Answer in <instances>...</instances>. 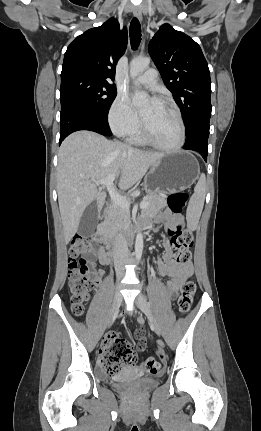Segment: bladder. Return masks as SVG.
Segmentation results:
<instances>
[{
  "mask_svg": "<svg viewBox=\"0 0 261 431\" xmlns=\"http://www.w3.org/2000/svg\"><path fill=\"white\" fill-rule=\"evenodd\" d=\"M157 377H141L132 368L124 369L113 378V386L117 390L143 392L157 385Z\"/></svg>",
  "mask_w": 261,
  "mask_h": 431,
  "instance_id": "bladder-1",
  "label": "bladder"
}]
</instances>
